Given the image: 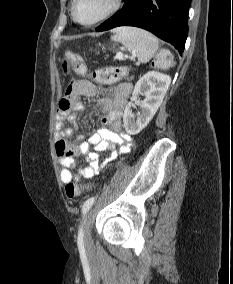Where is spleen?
I'll use <instances>...</instances> for the list:
<instances>
[{
  "mask_svg": "<svg viewBox=\"0 0 233 284\" xmlns=\"http://www.w3.org/2000/svg\"><path fill=\"white\" fill-rule=\"evenodd\" d=\"M111 39L120 42L128 51L135 52L141 63H147L158 51V39L148 31L136 27H119L115 29V35ZM159 57L161 67L170 65L173 61L172 54L166 49L160 51Z\"/></svg>",
  "mask_w": 233,
  "mask_h": 284,
  "instance_id": "spleen-1",
  "label": "spleen"
}]
</instances>
